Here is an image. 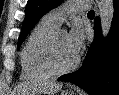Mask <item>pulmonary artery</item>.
I'll use <instances>...</instances> for the list:
<instances>
[{
	"instance_id": "e3ab8cb5",
	"label": "pulmonary artery",
	"mask_w": 119,
	"mask_h": 95,
	"mask_svg": "<svg viewBox=\"0 0 119 95\" xmlns=\"http://www.w3.org/2000/svg\"><path fill=\"white\" fill-rule=\"evenodd\" d=\"M89 7V2L85 0L68 1L48 12L45 17L56 25H60L69 14L85 11Z\"/></svg>"
}]
</instances>
